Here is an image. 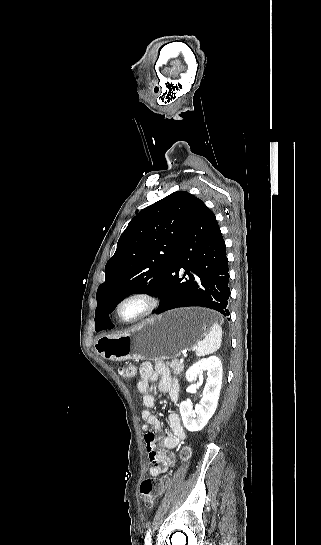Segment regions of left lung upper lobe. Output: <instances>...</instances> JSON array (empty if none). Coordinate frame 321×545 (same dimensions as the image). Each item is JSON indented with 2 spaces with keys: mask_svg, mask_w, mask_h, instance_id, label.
<instances>
[{
  "mask_svg": "<svg viewBox=\"0 0 321 545\" xmlns=\"http://www.w3.org/2000/svg\"><path fill=\"white\" fill-rule=\"evenodd\" d=\"M202 201L177 191L141 210L120 236L97 290L96 331L111 323L109 314L134 293L156 295L172 264L180 238Z\"/></svg>",
  "mask_w": 321,
  "mask_h": 545,
  "instance_id": "1",
  "label": "left lung upper lobe"
}]
</instances>
